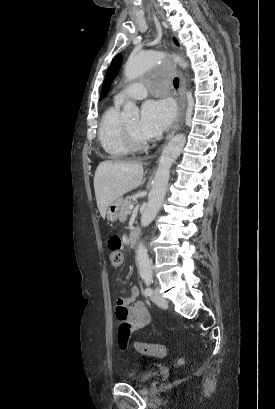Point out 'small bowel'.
I'll return each mask as SVG.
<instances>
[{"label":"small bowel","instance_id":"1","mask_svg":"<svg viewBox=\"0 0 275 409\" xmlns=\"http://www.w3.org/2000/svg\"><path fill=\"white\" fill-rule=\"evenodd\" d=\"M138 293L139 288L137 286H132L129 289L128 295L124 298H119L117 300V305L113 308L117 319L121 320V333L117 336V344L120 347V353L122 355H127L129 353V334L132 333V330L145 328L151 323V315L144 303H130Z\"/></svg>","mask_w":275,"mask_h":409}]
</instances>
